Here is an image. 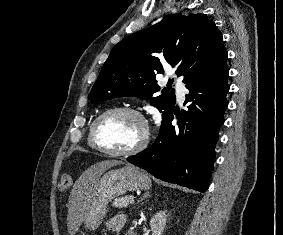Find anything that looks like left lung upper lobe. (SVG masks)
Returning a JSON list of instances; mask_svg holds the SVG:
<instances>
[{"mask_svg":"<svg viewBox=\"0 0 283 235\" xmlns=\"http://www.w3.org/2000/svg\"><path fill=\"white\" fill-rule=\"evenodd\" d=\"M226 59L222 34L213 21L202 14L167 15L112 49L88 99L91 103L127 96L150 99L164 122L174 109L175 95L164 88V94L155 96L160 91L155 76L164 73L163 66L175 67L176 75L187 83Z\"/></svg>","mask_w":283,"mask_h":235,"instance_id":"5c2ea615","label":"left lung upper lobe"}]
</instances>
